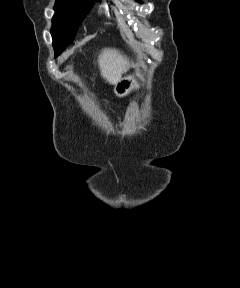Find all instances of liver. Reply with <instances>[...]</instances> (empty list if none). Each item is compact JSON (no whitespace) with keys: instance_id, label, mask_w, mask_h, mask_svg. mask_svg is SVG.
I'll return each instance as SVG.
<instances>
[{"instance_id":"6515ba94","label":"liver","mask_w":240,"mask_h":288,"mask_svg":"<svg viewBox=\"0 0 240 288\" xmlns=\"http://www.w3.org/2000/svg\"><path fill=\"white\" fill-rule=\"evenodd\" d=\"M98 64L103 78L110 84H116L123 73H126L130 67H134L126 56L119 51L111 48L102 50L98 57Z\"/></svg>"}]
</instances>
